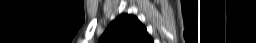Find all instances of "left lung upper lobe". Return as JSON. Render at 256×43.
<instances>
[{
	"instance_id": "5c2ea615",
	"label": "left lung upper lobe",
	"mask_w": 256,
	"mask_h": 43,
	"mask_svg": "<svg viewBox=\"0 0 256 43\" xmlns=\"http://www.w3.org/2000/svg\"><path fill=\"white\" fill-rule=\"evenodd\" d=\"M99 43H154V41L137 17L121 14L110 23Z\"/></svg>"
}]
</instances>
